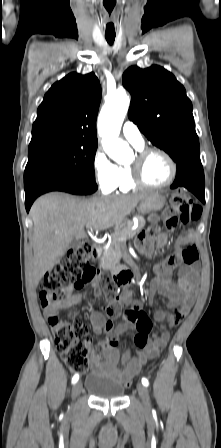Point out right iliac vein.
Returning <instances> with one entry per match:
<instances>
[{"instance_id": "obj_1", "label": "right iliac vein", "mask_w": 221, "mask_h": 448, "mask_svg": "<svg viewBox=\"0 0 221 448\" xmlns=\"http://www.w3.org/2000/svg\"><path fill=\"white\" fill-rule=\"evenodd\" d=\"M82 390V382L78 381L77 383L74 384L73 389H72V397L76 398Z\"/></svg>"}]
</instances>
